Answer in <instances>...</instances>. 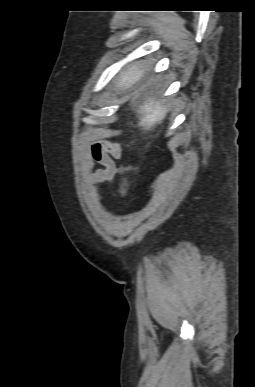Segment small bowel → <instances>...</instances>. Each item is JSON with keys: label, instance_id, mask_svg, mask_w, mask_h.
<instances>
[{"label": "small bowel", "instance_id": "small-bowel-1", "mask_svg": "<svg viewBox=\"0 0 255 387\" xmlns=\"http://www.w3.org/2000/svg\"><path fill=\"white\" fill-rule=\"evenodd\" d=\"M122 155V147L115 142H94L83 149V169L90 185H98L114 179L118 172L115 159ZM125 171V170H124ZM130 178L125 175L120 184V193L124 197L128 193Z\"/></svg>", "mask_w": 255, "mask_h": 387}]
</instances>
